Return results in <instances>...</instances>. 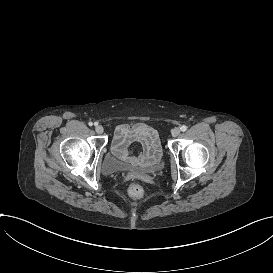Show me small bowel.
Segmentation results:
<instances>
[{"label":"small bowel","instance_id":"small-bowel-1","mask_svg":"<svg viewBox=\"0 0 273 273\" xmlns=\"http://www.w3.org/2000/svg\"><path fill=\"white\" fill-rule=\"evenodd\" d=\"M138 139L143 152L139 157H131L127 153V146ZM113 154L119 159L127 162V167L135 169L139 166H154L161 156V149L158 138L153 130L145 123H123L117 126L112 145Z\"/></svg>","mask_w":273,"mask_h":273}]
</instances>
